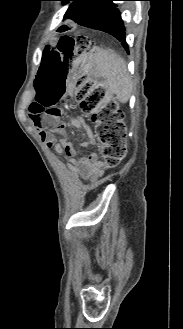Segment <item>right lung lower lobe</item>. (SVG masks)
Returning <instances> with one entry per match:
<instances>
[{
  "instance_id": "obj_1",
  "label": "right lung lower lobe",
  "mask_w": 183,
  "mask_h": 329,
  "mask_svg": "<svg viewBox=\"0 0 183 329\" xmlns=\"http://www.w3.org/2000/svg\"><path fill=\"white\" fill-rule=\"evenodd\" d=\"M69 0H63L67 3ZM64 18L89 28L102 30L116 37L128 51L125 40V27L119 10L113 1L116 0H71Z\"/></svg>"
}]
</instances>
